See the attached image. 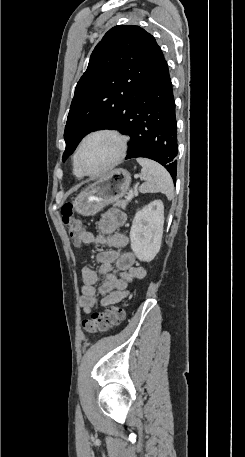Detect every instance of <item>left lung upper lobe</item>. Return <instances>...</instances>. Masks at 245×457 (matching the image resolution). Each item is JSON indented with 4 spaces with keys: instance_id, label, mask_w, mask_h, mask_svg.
Listing matches in <instances>:
<instances>
[{
    "instance_id": "left-lung-upper-lobe-1",
    "label": "left lung upper lobe",
    "mask_w": 245,
    "mask_h": 457,
    "mask_svg": "<svg viewBox=\"0 0 245 457\" xmlns=\"http://www.w3.org/2000/svg\"><path fill=\"white\" fill-rule=\"evenodd\" d=\"M160 55L154 37L139 26L117 25L104 35L75 88L63 161L86 134L125 122L146 96Z\"/></svg>"
}]
</instances>
